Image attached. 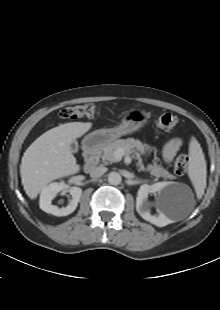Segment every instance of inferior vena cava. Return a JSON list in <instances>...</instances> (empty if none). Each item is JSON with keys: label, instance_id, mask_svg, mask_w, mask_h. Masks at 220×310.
<instances>
[{"label": "inferior vena cava", "instance_id": "1", "mask_svg": "<svg viewBox=\"0 0 220 310\" xmlns=\"http://www.w3.org/2000/svg\"><path fill=\"white\" fill-rule=\"evenodd\" d=\"M106 171H107V168H106V167L99 166V167L94 168V169L91 171L90 176H91L92 178H99V177H101Z\"/></svg>", "mask_w": 220, "mask_h": 310}]
</instances>
